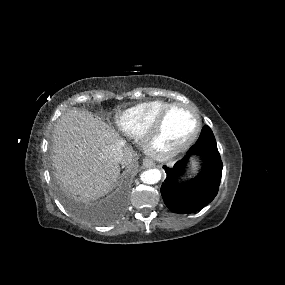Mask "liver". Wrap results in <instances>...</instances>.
I'll return each mask as SVG.
<instances>
[{
  "label": "liver",
  "mask_w": 285,
  "mask_h": 285,
  "mask_svg": "<svg viewBox=\"0 0 285 285\" xmlns=\"http://www.w3.org/2000/svg\"><path fill=\"white\" fill-rule=\"evenodd\" d=\"M119 141L124 144L120 164L130 167L134 154L111 126L85 111L62 115L52 138V161L61 185L86 200L108 193L120 175L119 163L110 157Z\"/></svg>",
  "instance_id": "6515ba94"
}]
</instances>
